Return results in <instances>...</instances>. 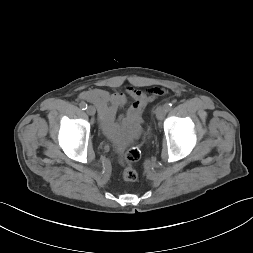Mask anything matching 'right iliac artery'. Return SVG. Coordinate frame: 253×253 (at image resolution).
<instances>
[{"instance_id": "obj_1", "label": "right iliac artery", "mask_w": 253, "mask_h": 253, "mask_svg": "<svg viewBox=\"0 0 253 253\" xmlns=\"http://www.w3.org/2000/svg\"><path fill=\"white\" fill-rule=\"evenodd\" d=\"M79 106H80V108H81L82 110H86V109H87V104H86L85 102H81V103L79 104Z\"/></svg>"}]
</instances>
